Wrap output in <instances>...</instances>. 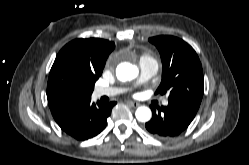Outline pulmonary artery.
I'll list each match as a JSON object with an SVG mask.
<instances>
[{"instance_id":"pulmonary-artery-1","label":"pulmonary artery","mask_w":249,"mask_h":165,"mask_svg":"<svg viewBox=\"0 0 249 165\" xmlns=\"http://www.w3.org/2000/svg\"><path fill=\"white\" fill-rule=\"evenodd\" d=\"M140 74L137 79L136 84H142L152 78L158 70L157 63L148 57H142L139 61ZM128 89L122 87H107V86H99L94 90L95 97L102 96H114L118 94L125 93ZM163 105H168V100H163Z\"/></svg>"}]
</instances>
